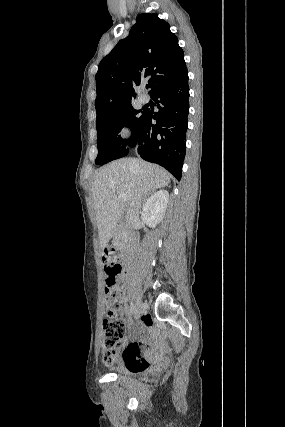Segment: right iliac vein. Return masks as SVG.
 Wrapping results in <instances>:
<instances>
[{
  "label": "right iliac vein",
  "instance_id": "1",
  "mask_svg": "<svg viewBox=\"0 0 285 427\" xmlns=\"http://www.w3.org/2000/svg\"><path fill=\"white\" fill-rule=\"evenodd\" d=\"M146 308L145 304L142 302L138 303L137 308L135 309V318L138 319L142 314L143 310Z\"/></svg>",
  "mask_w": 285,
  "mask_h": 427
}]
</instances>
